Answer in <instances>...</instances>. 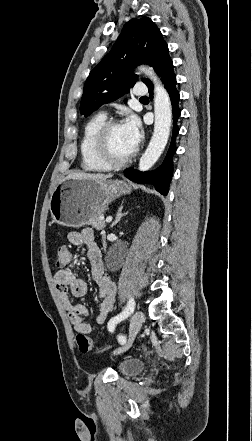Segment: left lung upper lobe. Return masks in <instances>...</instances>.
<instances>
[{
	"label": "left lung upper lobe",
	"instance_id": "5c2ea615",
	"mask_svg": "<svg viewBox=\"0 0 252 441\" xmlns=\"http://www.w3.org/2000/svg\"><path fill=\"white\" fill-rule=\"evenodd\" d=\"M166 42L148 17L127 22L111 51L90 72L81 98L80 113L85 117L101 105L128 92L138 79L132 69L148 64L155 70ZM147 85L150 81L142 79Z\"/></svg>",
	"mask_w": 252,
	"mask_h": 441
}]
</instances>
